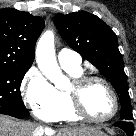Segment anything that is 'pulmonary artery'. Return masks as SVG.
<instances>
[{
  "instance_id": "pulmonary-artery-1",
  "label": "pulmonary artery",
  "mask_w": 136,
  "mask_h": 136,
  "mask_svg": "<svg viewBox=\"0 0 136 136\" xmlns=\"http://www.w3.org/2000/svg\"><path fill=\"white\" fill-rule=\"evenodd\" d=\"M58 61L62 67L79 69L81 57L77 52L71 49L63 48L58 53Z\"/></svg>"
}]
</instances>
